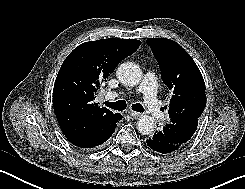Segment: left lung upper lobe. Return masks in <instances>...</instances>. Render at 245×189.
Wrapping results in <instances>:
<instances>
[{
    "mask_svg": "<svg viewBox=\"0 0 245 189\" xmlns=\"http://www.w3.org/2000/svg\"><path fill=\"white\" fill-rule=\"evenodd\" d=\"M161 71L164 84L173 92L170 99V122L163 132L172 142L187 143L198 126L205 105V83L191 56L175 41L165 38H148Z\"/></svg>",
    "mask_w": 245,
    "mask_h": 189,
    "instance_id": "obj_1",
    "label": "left lung upper lobe"
}]
</instances>
